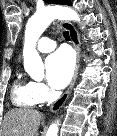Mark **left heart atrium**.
<instances>
[{
    "label": "left heart atrium",
    "mask_w": 117,
    "mask_h": 136,
    "mask_svg": "<svg viewBox=\"0 0 117 136\" xmlns=\"http://www.w3.org/2000/svg\"><path fill=\"white\" fill-rule=\"evenodd\" d=\"M75 68V59L68 48H60L48 56L46 60L47 79L54 89L67 86Z\"/></svg>",
    "instance_id": "1"
}]
</instances>
